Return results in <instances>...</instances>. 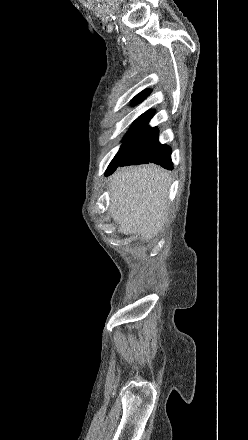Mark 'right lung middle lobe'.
<instances>
[{
  "label": "right lung middle lobe",
  "mask_w": 248,
  "mask_h": 440,
  "mask_svg": "<svg viewBox=\"0 0 248 440\" xmlns=\"http://www.w3.org/2000/svg\"><path fill=\"white\" fill-rule=\"evenodd\" d=\"M136 130H129V132L126 134V136L124 137V143L121 146L120 150L118 151V153L116 154V156L114 157V159L111 161V163L109 164L107 170H106V174L109 173H113L117 167L120 165V163L123 160V154L128 142V139L131 137V135L135 132Z\"/></svg>",
  "instance_id": "right-lung-middle-lobe-1"
}]
</instances>
